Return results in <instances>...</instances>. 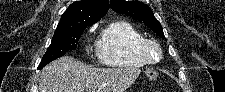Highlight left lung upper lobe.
<instances>
[{"label": "left lung upper lobe", "mask_w": 225, "mask_h": 92, "mask_svg": "<svg viewBox=\"0 0 225 92\" xmlns=\"http://www.w3.org/2000/svg\"><path fill=\"white\" fill-rule=\"evenodd\" d=\"M110 7L118 13L131 16L133 19L143 22L158 36L165 38L161 24L154 17L151 8L140 1L111 0Z\"/></svg>", "instance_id": "1"}]
</instances>
